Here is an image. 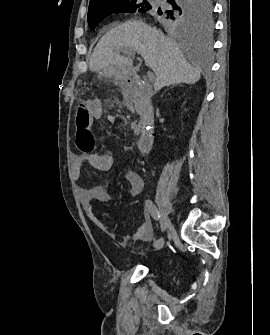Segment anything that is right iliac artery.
<instances>
[{
  "label": "right iliac artery",
  "mask_w": 270,
  "mask_h": 335,
  "mask_svg": "<svg viewBox=\"0 0 270 335\" xmlns=\"http://www.w3.org/2000/svg\"><path fill=\"white\" fill-rule=\"evenodd\" d=\"M145 206L147 208V210L149 211V213L151 214V216L153 217V219L155 220H159L160 218V214L156 208V206L153 204V202L151 200H146L145 201ZM164 244V239L160 238L158 240H156L153 244V246L157 249L161 248Z\"/></svg>",
  "instance_id": "right-iliac-artery-1"
}]
</instances>
